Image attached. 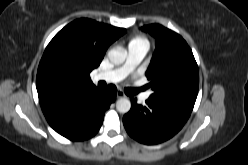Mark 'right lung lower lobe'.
Segmentation results:
<instances>
[{
	"mask_svg": "<svg viewBox=\"0 0 248 165\" xmlns=\"http://www.w3.org/2000/svg\"><path fill=\"white\" fill-rule=\"evenodd\" d=\"M116 94L117 88L111 84L105 89H97L74 105L45 117L60 135L73 141L87 140L99 131L105 111L115 101Z\"/></svg>",
	"mask_w": 248,
	"mask_h": 165,
	"instance_id": "obj_1",
	"label": "right lung lower lobe"
}]
</instances>
